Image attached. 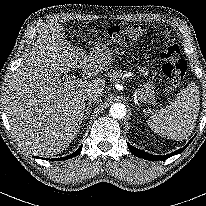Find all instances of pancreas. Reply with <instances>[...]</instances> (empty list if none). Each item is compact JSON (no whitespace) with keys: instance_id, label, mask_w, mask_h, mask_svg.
<instances>
[{"instance_id":"pancreas-1","label":"pancreas","mask_w":206,"mask_h":206,"mask_svg":"<svg viewBox=\"0 0 206 206\" xmlns=\"http://www.w3.org/2000/svg\"><path fill=\"white\" fill-rule=\"evenodd\" d=\"M107 76L111 81L121 82L123 80V72L121 70H110Z\"/></svg>"}]
</instances>
